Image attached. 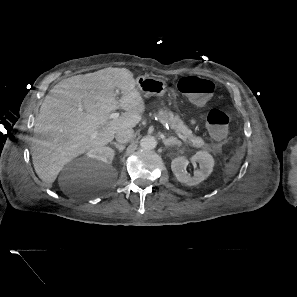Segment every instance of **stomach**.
Here are the masks:
<instances>
[{
    "label": "stomach",
    "mask_w": 297,
    "mask_h": 297,
    "mask_svg": "<svg viewBox=\"0 0 297 297\" xmlns=\"http://www.w3.org/2000/svg\"><path fill=\"white\" fill-rule=\"evenodd\" d=\"M136 85L145 97L163 96L167 91V84L164 80L149 76H139Z\"/></svg>",
    "instance_id": "stomach-1"
}]
</instances>
